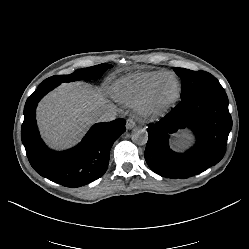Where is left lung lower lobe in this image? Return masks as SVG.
Masks as SVG:
<instances>
[{
  "label": "left lung lower lobe",
  "instance_id": "obj_1",
  "mask_svg": "<svg viewBox=\"0 0 249 249\" xmlns=\"http://www.w3.org/2000/svg\"><path fill=\"white\" fill-rule=\"evenodd\" d=\"M193 131L196 143L184 153L169 148V134ZM232 118L223 88L194 94L175 106L164 118L149 126L145 160L155 173L185 179L217 164L224 156Z\"/></svg>",
  "mask_w": 249,
  "mask_h": 249
}]
</instances>
